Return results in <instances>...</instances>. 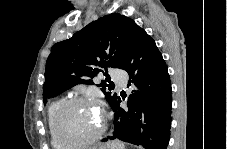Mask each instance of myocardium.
<instances>
[{"mask_svg":"<svg viewBox=\"0 0 227 149\" xmlns=\"http://www.w3.org/2000/svg\"><path fill=\"white\" fill-rule=\"evenodd\" d=\"M84 102H92V100L87 97H83V96H74V97L64 100L56 110V113L54 116V129H55V133H56L58 140L64 146H90V145H93L96 141H98L100 139V137L103 135V133L106 130L107 124H106L105 111L102 108H100V104L97 101H93L99 107V111L101 114V124H100L98 131L96 133H94L92 136H90L86 139H83V140H70L64 136L63 131H62V118H63L65 111L67 110L68 107H70L73 104L84 103Z\"/></svg>","mask_w":227,"mask_h":149,"instance_id":"obj_1","label":"myocardium"}]
</instances>
